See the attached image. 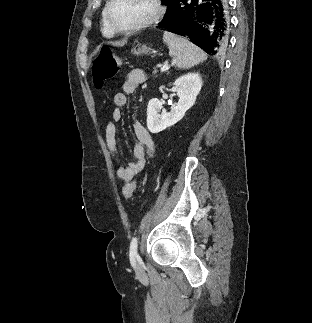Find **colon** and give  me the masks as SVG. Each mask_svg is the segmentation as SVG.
<instances>
[{"instance_id":"obj_1","label":"colon","mask_w":312,"mask_h":323,"mask_svg":"<svg viewBox=\"0 0 312 323\" xmlns=\"http://www.w3.org/2000/svg\"><path fill=\"white\" fill-rule=\"evenodd\" d=\"M122 59L114 55L113 49L108 46L101 48L96 56L92 66L93 78L99 81H105L114 77L120 70ZM135 189V183L124 184L123 198L128 200Z\"/></svg>"}]
</instances>
